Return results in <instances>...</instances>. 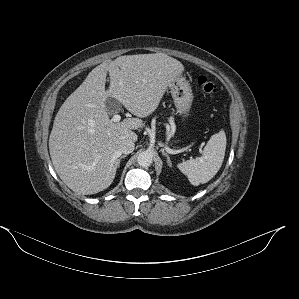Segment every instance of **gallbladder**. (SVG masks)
I'll list each match as a JSON object with an SVG mask.
<instances>
[{
    "label": "gallbladder",
    "mask_w": 299,
    "mask_h": 299,
    "mask_svg": "<svg viewBox=\"0 0 299 299\" xmlns=\"http://www.w3.org/2000/svg\"><path fill=\"white\" fill-rule=\"evenodd\" d=\"M105 103L109 113H116L121 110V104L115 98L108 97Z\"/></svg>",
    "instance_id": "obj_1"
}]
</instances>
